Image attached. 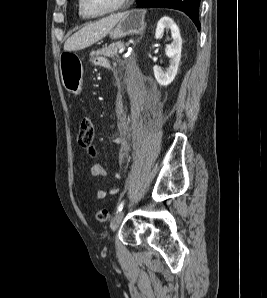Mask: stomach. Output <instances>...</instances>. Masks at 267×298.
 Masks as SVG:
<instances>
[{
  "mask_svg": "<svg viewBox=\"0 0 267 298\" xmlns=\"http://www.w3.org/2000/svg\"><path fill=\"white\" fill-rule=\"evenodd\" d=\"M146 10L125 12L117 25L111 29L109 36L119 39L128 35L142 34L145 30ZM60 73L65 89L75 95L82 90L83 68L76 54L65 51L60 55Z\"/></svg>",
  "mask_w": 267,
  "mask_h": 298,
  "instance_id": "0dacf381",
  "label": "stomach"
}]
</instances>
